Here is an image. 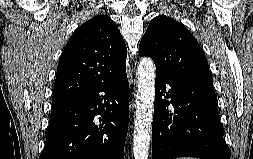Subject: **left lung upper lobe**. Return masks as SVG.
<instances>
[{
  "label": "left lung upper lobe",
  "mask_w": 253,
  "mask_h": 159,
  "mask_svg": "<svg viewBox=\"0 0 253 159\" xmlns=\"http://www.w3.org/2000/svg\"><path fill=\"white\" fill-rule=\"evenodd\" d=\"M139 54L154 60L156 74L213 84L199 43L181 23L170 17L153 18L141 39Z\"/></svg>",
  "instance_id": "1"
}]
</instances>
